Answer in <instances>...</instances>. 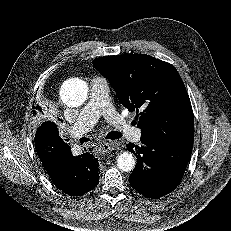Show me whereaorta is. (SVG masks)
<instances>
[{
    "label": "aorta",
    "mask_w": 231,
    "mask_h": 231,
    "mask_svg": "<svg viewBox=\"0 0 231 231\" xmlns=\"http://www.w3.org/2000/svg\"><path fill=\"white\" fill-rule=\"evenodd\" d=\"M88 96V87L80 79L65 81L60 90V98L68 107H78L84 103ZM136 161L130 152H123L117 157V166L121 171L129 172L135 168Z\"/></svg>",
    "instance_id": "obj_1"
}]
</instances>
